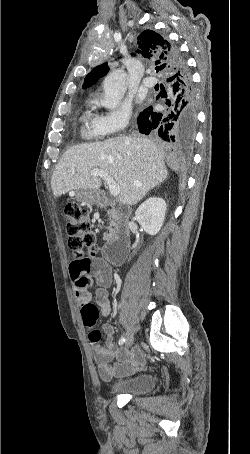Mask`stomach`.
Returning <instances> with one entry per match:
<instances>
[{"label": "stomach", "mask_w": 250, "mask_h": 454, "mask_svg": "<svg viewBox=\"0 0 250 454\" xmlns=\"http://www.w3.org/2000/svg\"><path fill=\"white\" fill-rule=\"evenodd\" d=\"M77 199L87 204H97L100 201L99 192L92 189L79 190L76 195Z\"/></svg>", "instance_id": "obj_1"}]
</instances>
